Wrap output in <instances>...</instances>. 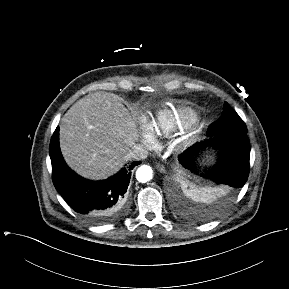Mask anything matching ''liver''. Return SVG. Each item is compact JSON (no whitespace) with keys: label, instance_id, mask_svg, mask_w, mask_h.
<instances>
[{"label":"liver","instance_id":"liver-1","mask_svg":"<svg viewBox=\"0 0 289 289\" xmlns=\"http://www.w3.org/2000/svg\"><path fill=\"white\" fill-rule=\"evenodd\" d=\"M138 133L134 115L120 98L99 91L67 111L61 119L59 143L71 169L85 178L102 180L124 166Z\"/></svg>","mask_w":289,"mask_h":289}]
</instances>
